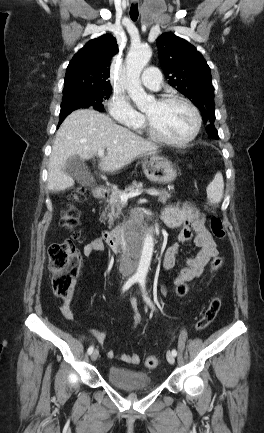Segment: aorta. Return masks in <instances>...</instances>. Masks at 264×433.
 Returning a JSON list of instances; mask_svg holds the SVG:
<instances>
[{
	"label": "aorta",
	"mask_w": 264,
	"mask_h": 433,
	"mask_svg": "<svg viewBox=\"0 0 264 433\" xmlns=\"http://www.w3.org/2000/svg\"><path fill=\"white\" fill-rule=\"evenodd\" d=\"M152 56L151 48L147 45H140L131 48L126 57V89L139 109L146 107L153 101V97L147 95L140 82V75ZM154 250V238L147 234L139 248V261L135 276L146 278Z\"/></svg>",
	"instance_id": "obj_1"
}]
</instances>
